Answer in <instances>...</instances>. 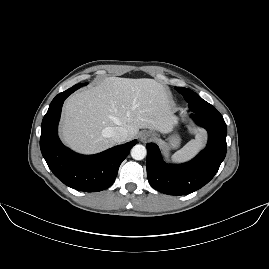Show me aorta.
<instances>
[{"mask_svg": "<svg viewBox=\"0 0 269 269\" xmlns=\"http://www.w3.org/2000/svg\"><path fill=\"white\" fill-rule=\"evenodd\" d=\"M147 154L146 148L143 145H135L132 149H131V156L133 159L135 160H142L145 158Z\"/></svg>", "mask_w": 269, "mask_h": 269, "instance_id": "762f6f07", "label": "aorta"}]
</instances>
